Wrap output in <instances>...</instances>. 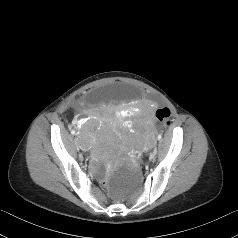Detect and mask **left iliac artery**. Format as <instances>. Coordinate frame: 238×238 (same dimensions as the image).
Masks as SVG:
<instances>
[{
    "label": "left iliac artery",
    "mask_w": 238,
    "mask_h": 238,
    "mask_svg": "<svg viewBox=\"0 0 238 238\" xmlns=\"http://www.w3.org/2000/svg\"><path fill=\"white\" fill-rule=\"evenodd\" d=\"M157 138H158V140H160L162 138V135L159 134Z\"/></svg>",
    "instance_id": "44dca946"
}]
</instances>
